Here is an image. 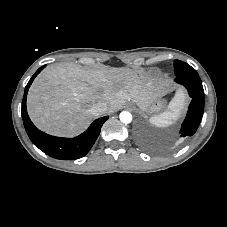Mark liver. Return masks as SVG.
<instances>
[{
    "mask_svg": "<svg viewBox=\"0 0 227 227\" xmlns=\"http://www.w3.org/2000/svg\"><path fill=\"white\" fill-rule=\"evenodd\" d=\"M165 92V84L129 68L82 69L63 63L47 67L35 79L27 110L40 130L72 137L93 121L91 108L98 102L107 103L105 113H112L130 100L146 107Z\"/></svg>",
    "mask_w": 227,
    "mask_h": 227,
    "instance_id": "liver-1",
    "label": "liver"
}]
</instances>
